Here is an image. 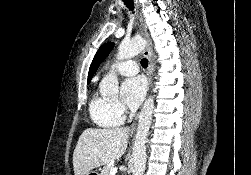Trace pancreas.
Returning a JSON list of instances; mask_svg holds the SVG:
<instances>
[{"instance_id":"pancreas-1","label":"pancreas","mask_w":251,"mask_h":175,"mask_svg":"<svg viewBox=\"0 0 251 175\" xmlns=\"http://www.w3.org/2000/svg\"><path fill=\"white\" fill-rule=\"evenodd\" d=\"M113 167V163H107V165H104L101 169V173L99 175H111L110 171Z\"/></svg>"}]
</instances>
